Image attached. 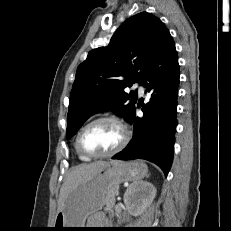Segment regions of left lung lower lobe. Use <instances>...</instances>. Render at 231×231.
I'll return each mask as SVG.
<instances>
[{
    "label": "left lung lower lobe",
    "instance_id": "left-lung-lower-lobe-1",
    "mask_svg": "<svg viewBox=\"0 0 231 231\" xmlns=\"http://www.w3.org/2000/svg\"><path fill=\"white\" fill-rule=\"evenodd\" d=\"M179 64L175 43L170 33L141 78L150 93V101L142 109L144 117H136V108L128 122L133 124V138L112 159H145L168 174L173 161L177 126V93Z\"/></svg>",
    "mask_w": 231,
    "mask_h": 231
}]
</instances>
